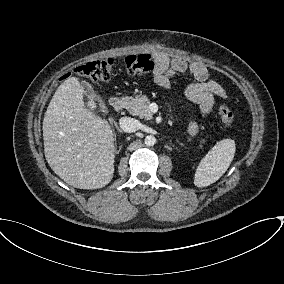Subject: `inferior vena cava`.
<instances>
[{"label":"inferior vena cava","mask_w":284,"mask_h":284,"mask_svg":"<svg viewBox=\"0 0 284 284\" xmlns=\"http://www.w3.org/2000/svg\"><path fill=\"white\" fill-rule=\"evenodd\" d=\"M119 125L124 132L131 133L138 129L139 121L130 117H122L119 120Z\"/></svg>","instance_id":"1"}]
</instances>
